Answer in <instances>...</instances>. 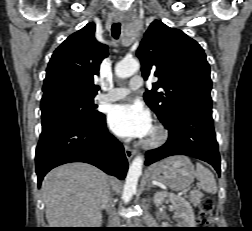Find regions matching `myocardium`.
Segmentation results:
<instances>
[{"instance_id":"f54148a6","label":"myocardium","mask_w":252,"mask_h":231,"mask_svg":"<svg viewBox=\"0 0 252 231\" xmlns=\"http://www.w3.org/2000/svg\"><path fill=\"white\" fill-rule=\"evenodd\" d=\"M153 137L146 138L143 141V146L145 148H157L163 145L168 139V131L164 126L156 124L152 128Z\"/></svg>"}]
</instances>
